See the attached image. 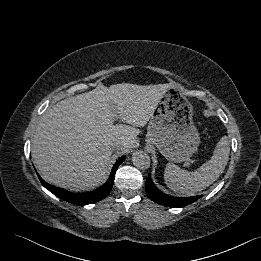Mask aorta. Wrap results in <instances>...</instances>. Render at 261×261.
I'll return each instance as SVG.
<instances>
[{"label": "aorta", "instance_id": "1", "mask_svg": "<svg viewBox=\"0 0 261 261\" xmlns=\"http://www.w3.org/2000/svg\"><path fill=\"white\" fill-rule=\"evenodd\" d=\"M132 163L138 169L146 170L150 166V157L143 151H135L132 154Z\"/></svg>", "mask_w": 261, "mask_h": 261}]
</instances>
